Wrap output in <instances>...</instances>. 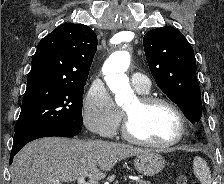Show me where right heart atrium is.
Returning <instances> with one entry per match:
<instances>
[{
    "label": "right heart atrium",
    "instance_id": "1",
    "mask_svg": "<svg viewBox=\"0 0 224 184\" xmlns=\"http://www.w3.org/2000/svg\"><path fill=\"white\" fill-rule=\"evenodd\" d=\"M82 116L85 126L103 137L114 135L122 120L121 110L108 90L99 84H93L88 90Z\"/></svg>",
    "mask_w": 224,
    "mask_h": 184
}]
</instances>
